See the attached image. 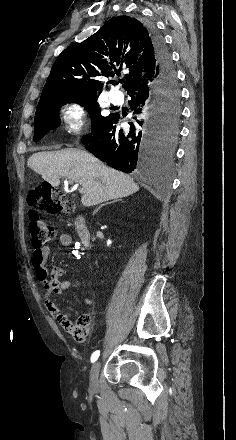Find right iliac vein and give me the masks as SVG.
<instances>
[{
	"label": "right iliac vein",
	"mask_w": 236,
	"mask_h": 440,
	"mask_svg": "<svg viewBox=\"0 0 236 440\" xmlns=\"http://www.w3.org/2000/svg\"><path fill=\"white\" fill-rule=\"evenodd\" d=\"M100 361H97L93 364L90 371V388L92 390H96L98 388V374L100 370Z\"/></svg>",
	"instance_id": "1"
}]
</instances>
